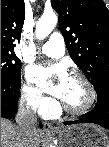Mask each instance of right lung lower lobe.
Returning a JSON list of instances; mask_svg holds the SVG:
<instances>
[{
    "label": "right lung lower lobe",
    "mask_w": 109,
    "mask_h": 147,
    "mask_svg": "<svg viewBox=\"0 0 109 147\" xmlns=\"http://www.w3.org/2000/svg\"><path fill=\"white\" fill-rule=\"evenodd\" d=\"M19 95L20 81L1 80V117L14 118Z\"/></svg>",
    "instance_id": "obj_1"
}]
</instances>
